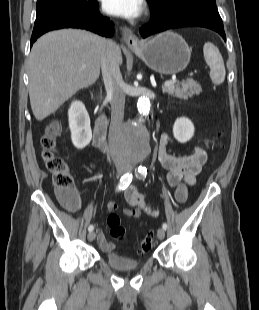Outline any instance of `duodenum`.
Segmentation results:
<instances>
[{
  "label": "duodenum",
  "instance_id": "410a0bca",
  "mask_svg": "<svg viewBox=\"0 0 259 310\" xmlns=\"http://www.w3.org/2000/svg\"><path fill=\"white\" fill-rule=\"evenodd\" d=\"M107 131V120L103 113H99L95 121L93 144L97 149H102Z\"/></svg>",
  "mask_w": 259,
  "mask_h": 310
}]
</instances>
